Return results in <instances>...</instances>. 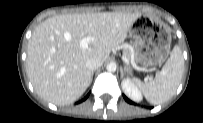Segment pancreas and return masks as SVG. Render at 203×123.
<instances>
[{
    "label": "pancreas",
    "mask_w": 203,
    "mask_h": 123,
    "mask_svg": "<svg viewBox=\"0 0 203 123\" xmlns=\"http://www.w3.org/2000/svg\"><path fill=\"white\" fill-rule=\"evenodd\" d=\"M124 54L127 55V56H129L130 51H129L127 48H125V49H124Z\"/></svg>",
    "instance_id": "1"
}]
</instances>
